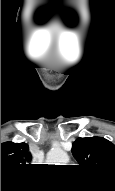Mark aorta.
I'll return each instance as SVG.
<instances>
[{
    "label": "aorta",
    "mask_w": 115,
    "mask_h": 191,
    "mask_svg": "<svg viewBox=\"0 0 115 191\" xmlns=\"http://www.w3.org/2000/svg\"><path fill=\"white\" fill-rule=\"evenodd\" d=\"M48 160L55 165H65L69 162V156L65 151L57 149L49 152Z\"/></svg>",
    "instance_id": "obj_1"
}]
</instances>
